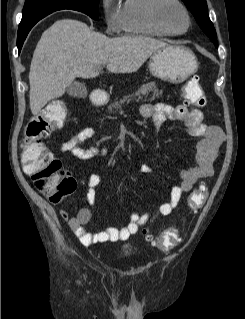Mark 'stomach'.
Listing matches in <instances>:
<instances>
[{"label": "stomach", "instance_id": "1", "mask_svg": "<svg viewBox=\"0 0 245 319\" xmlns=\"http://www.w3.org/2000/svg\"><path fill=\"white\" fill-rule=\"evenodd\" d=\"M148 67L155 77L179 83L197 71L198 63L190 49L167 45L151 55Z\"/></svg>", "mask_w": 245, "mask_h": 319}]
</instances>
